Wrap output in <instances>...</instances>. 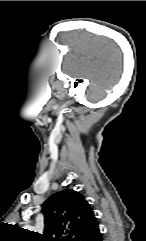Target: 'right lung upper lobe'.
<instances>
[{
  "label": "right lung upper lobe",
  "instance_id": "right-lung-upper-lobe-1",
  "mask_svg": "<svg viewBox=\"0 0 146 241\" xmlns=\"http://www.w3.org/2000/svg\"><path fill=\"white\" fill-rule=\"evenodd\" d=\"M44 234L40 241H100L101 233L92 208L84 196L66 189L44 203Z\"/></svg>",
  "mask_w": 146,
  "mask_h": 241
}]
</instances>
